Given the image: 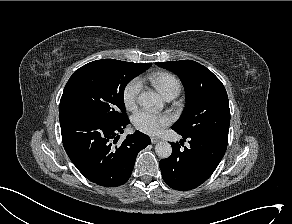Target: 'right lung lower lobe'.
Instances as JSON below:
<instances>
[{
	"label": "right lung lower lobe",
	"instance_id": "1",
	"mask_svg": "<svg viewBox=\"0 0 292 224\" xmlns=\"http://www.w3.org/2000/svg\"><path fill=\"white\" fill-rule=\"evenodd\" d=\"M62 141L70 160L91 182L117 187L130 178L137 154L151 143L136 131L119 145V134L130 121L108 125L78 110L59 113Z\"/></svg>",
	"mask_w": 292,
	"mask_h": 224
}]
</instances>
